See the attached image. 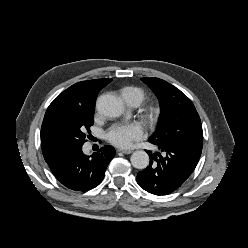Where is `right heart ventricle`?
<instances>
[{
    "label": "right heart ventricle",
    "mask_w": 248,
    "mask_h": 248,
    "mask_svg": "<svg viewBox=\"0 0 248 248\" xmlns=\"http://www.w3.org/2000/svg\"><path fill=\"white\" fill-rule=\"evenodd\" d=\"M121 95L126 102L135 100L141 104L145 99V92L142 88L136 86H128L121 90Z\"/></svg>",
    "instance_id": "obj_1"
}]
</instances>
